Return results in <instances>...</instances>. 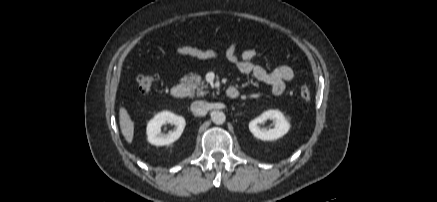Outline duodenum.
Instances as JSON below:
<instances>
[{"instance_id": "obj_1", "label": "duodenum", "mask_w": 437, "mask_h": 202, "mask_svg": "<svg viewBox=\"0 0 437 202\" xmlns=\"http://www.w3.org/2000/svg\"><path fill=\"white\" fill-rule=\"evenodd\" d=\"M184 93H185V89L181 84H176L171 88V94L176 99L182 98L184 96ZM225 93L226 96L230 99H235L239 95V91L235 87H229Z\"/></svg>"}]
</instances>
